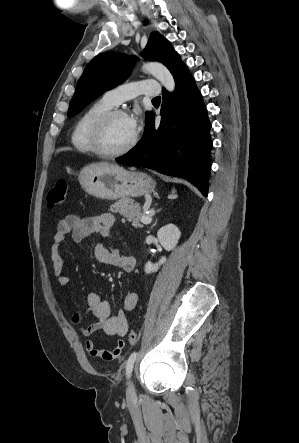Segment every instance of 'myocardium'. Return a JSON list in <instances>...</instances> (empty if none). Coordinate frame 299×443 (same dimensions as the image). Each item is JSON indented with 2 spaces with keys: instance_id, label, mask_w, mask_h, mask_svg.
<instances>
[{
  "instance_id": "1",
  "label": "myocardium",
  "mask_w": 299,
  "mask_h": 443,
  "mask_svg": "<svg viewBox=\"0 0 299 443\" xmlns=\"http://www.w3.org/2000/svg\"><path fill=\"white\" fill-rule=\"evenodd\" d=\"M118 116H127V113L118 108H112L102 113L94 122L90 132V143L95 154L100 157L113 159L129 153L137 144L139 134L135 131L131 141L122 149L117 151H108L103 146V136L110 121Z\"/></svg>"
}]
</instances>
